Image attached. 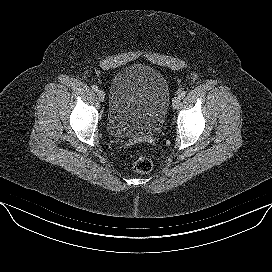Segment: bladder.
<instances>
[{
  "label": "bladder",
  "instance_id": "bladder-1",
  "mask_svg": "<svg viewBox=\"0 0 272 272\" xmlns=\"http://www.w3.org/2000/svg\"><path fill=\"white\" fill-rule=\"evenodd\" d=\"M169 102V86L160 71L140 63L128 65L110 85L107 130L123 139L152 137L164 125Z\"/></svg>",
  "mask_w": 272,
  "mask_h": 272
}]
</instances>
